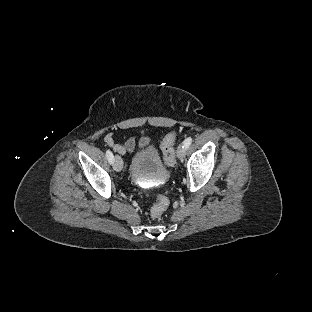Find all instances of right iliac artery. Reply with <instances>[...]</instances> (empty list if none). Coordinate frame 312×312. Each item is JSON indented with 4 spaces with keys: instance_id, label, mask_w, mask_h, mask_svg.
<instances>
[{
    "instance_id": "1",
    "label": "right iliac artery",
    "mask_w": 312,
    "mask_h": 312,
    "mask_svg": "<svg viewBox=\"0 0 312 312\" xmlns=\"http://www.w3.org/2000/svg\"><path fill=\"white\" fill-rule=\"evenodd\" d=\"M106 156L108 158L109 163L112 164L114 161V156L110 150H106Z\"/></svg>"
}]
</instances>
